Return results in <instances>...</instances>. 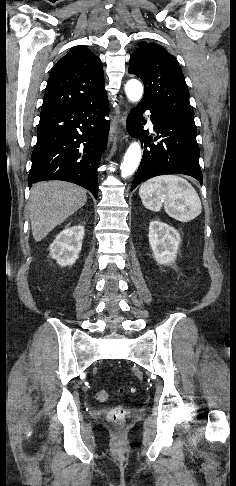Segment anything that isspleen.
I'll list each match as a JSON object with an SVG mask.
<instances>
[{
    "mask_svg": "<svg viewBox=\"0 0 236 486\" xmlns=\"http://www.w3.org/2000/svg\"><path fill=\"white\" fill-rule=\"evenodd\" d=\"M142 204L152 211L164 209L168 215L182 222L197 217L202 210L201 200L194 187L177 175L154 177L139 189Z\"/></svg>",
    "mask_w": 236,
    "mask_h": 486,
    "instance_id": "1",
    "label": "spleen"
}]
</instances>
